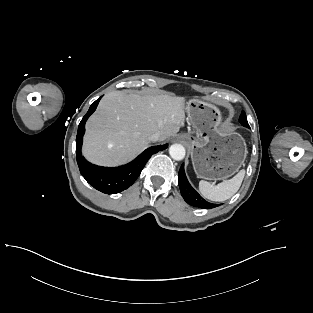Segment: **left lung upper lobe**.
<instances>
[{
    "mask_svg": "<svg viewBox=\"0 0 313 313\" xmlns=\"http://www.w3.org/2000/svg\"><path fill=\"white\" fill-rule=\"evenodd\" d=\"M239 122L244 126V127H249L247 119H246V114L244 111H242L240 118H239Z\"/></svg>",
    "mask_w": 313,
    "mask_h": 313,
    "instance_id": "left-lung-upper-lobe-1",
    "label": "left lung upper lobe"
}]
</instances>
